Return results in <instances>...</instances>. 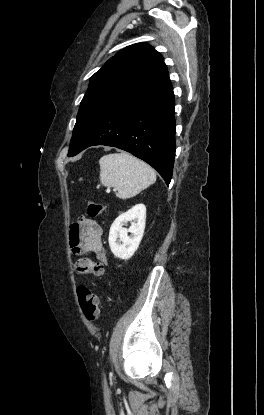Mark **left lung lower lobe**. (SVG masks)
Returning <instances> with one entry per match:
<instances>
[{
    "label": "left lung lower lobe",
    "mask_w": 264,
    "mask_h": 415,
    "mask_svg": "<svg viewBox=\"0 0 264 415\" xmlns=\"http://www.w3.org/2000/svg\"><path fill=\"white\" fill-rule=\"evenodd\" d=\"M174 105L167 76L108 110L76 154L94 145L120 148L151 165L168 185L175 156Z\"/></svg>",
    "instance_id": "left-lung-lower-lobe-1"
}]
</instances>
